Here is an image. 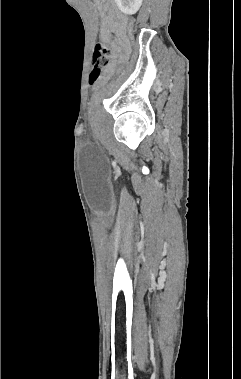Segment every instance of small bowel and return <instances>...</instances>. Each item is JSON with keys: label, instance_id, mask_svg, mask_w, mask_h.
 <instances>
[{"label": "small bowel", "instance_id": "1", "mask_svg": "<svg viewBox=\"0 0 241 379\" xmlns=\"http://www.w3.org/2000/svg\"><path fill=\"white\" fill-rule=\"evenodd\" d=\"M110 0H96L97 6L101 10V27H100V39L103 43H108L111 33H118L122 41L114 49V58L120 57L126 48L125 30L127 20L124 15L118 13H112L106 15L103 10L108 6ZM114 65L111 63L105 70V76H109L113 71Z\"/></svg>", "mask_w": 241, "mask_h": 379}]
</instances>
